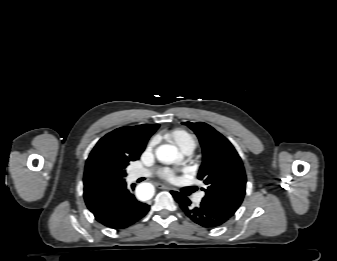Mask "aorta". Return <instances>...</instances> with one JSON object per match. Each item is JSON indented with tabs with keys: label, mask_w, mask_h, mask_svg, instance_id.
I'll list each match as a JSON object with an SVG mask.
<instances>
[{
	"label": "aorta",
	"mask_w": 337,
	"mask_h": 261,
	"mask_svg": "<svg viewBox=\"0 0 337 261\" xmlns=\"http://www.w3.org/2000/svg\"><path fill=\"white\" fill-rule=\"evenodd\" d=\"M157 159L165 164H171L179 161L182 155L174 145H161L155 151ZM154 195V186L151 183L143 182L136 187V196L140 200H149Z\"/></svg>",
	"instance_id": "aorta-1"
}]
</instances>
